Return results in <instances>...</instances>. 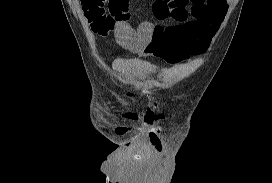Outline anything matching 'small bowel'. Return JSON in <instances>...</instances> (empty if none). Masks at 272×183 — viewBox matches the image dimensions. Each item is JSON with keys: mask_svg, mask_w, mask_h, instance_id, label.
Here are the masks:
<instances>
[{"mask_svg": "<svg viewBox=\"0 0 272 183\" xmlns=\"http://www.w3.org/2000/svg\"><path fill=\"white\" fill-rule=\"evenodd\" d=\"M228 0H155L153 12L165 27L141 21L130 23L128 10L115 31L116 42L140 56H158L171 63L181 62L206 50L224 20ZM137 120V113L124 115Z\"/></svg>", "mask_w": 272, "mask_h": 183, "instance_id": "c3829d8e", "label": "small bowel"}]
</instances>
